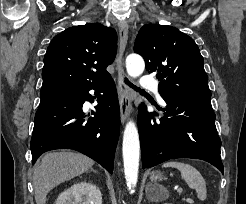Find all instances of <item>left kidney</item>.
Returning a JSON list of instances; mask_svg holds the SVG:
<instances>
[{"label": "left kidney", "mask_w": 246, "mask_h": 204, "mask_svg": "<svg viewBox=\"0 0 246 204\" xmlns=\"http://www.w3.org/2000/svg\"><path fill=\"white\" fill-rule=\"evenodd\" d=\"M163 204H171V203H163Z\"/></svg>", "instance_id": "obj_1"}]
</instances>
